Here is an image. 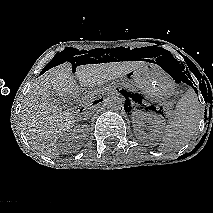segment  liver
Instances as JSON below:
<instances>
[{
  "label": "liver",
  "instance_id": "1",
  "mask_svg": "<svg viewBox=\"0 0 213 213\" xmlns=\"http://www.w3.org/2000/svg\"><path fill=\"white\" fill-rule=\"evenodd\" d=\"M145 62L124 61L80 65L75 74L84 87H93L103 81L122 77L144 66ZM76 90L72 64L64 62L39 76L28 91L21 111V123L29 143L50 158H58L57 139L76 122V114L63 111L51 95L66 98Z\"/></svg>",
  "mask_w": 213,
  "mask_h": 213
}]
</instances>
